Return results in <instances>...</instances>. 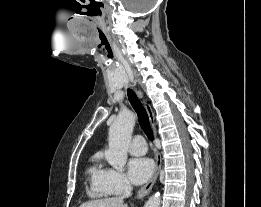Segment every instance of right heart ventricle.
<instances>
[{
    "mask_svg": "<svg viewBox=\"0 0 261 207\" xmlns=\"http://www.w3.org/2000/svg\"><path fill=\"white\" fill-rule=\"evenodd\" d=\"M105 173L106 169L101 165V157L98 155L94 156L87 170V175L90 181L89 195L91 197L102 198L109 195L104 184Z\"/></svg>",
    "mask_w": 261,
    "mask_h": 207,
    "instance_id": "1",
    "label": "right heart ventricle"
}]
</instances>
